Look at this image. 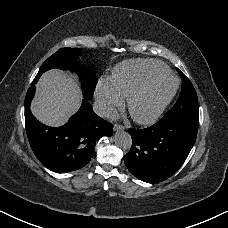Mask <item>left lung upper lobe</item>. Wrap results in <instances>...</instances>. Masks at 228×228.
Masks as SVG:
<instances>
[{
    "label": "left lung upper lobe",
    "instance_id": "left-lung-upper-lobe-1",
    "mask_svg": "<svg viewBox=\"0 0 228 228\" xmlns=\"http://www.w3.org/2000/svg\"><path fill=\"white\" fill-rule=\"evenodd\" d=\"M182 79V90L176 104L159 121L171 125L190 123L199 125V108L196 91L190 80L177 69Z\"/></svg>",
    "mask_w": 228,
    "mask_h": 228
}]
</instances>
